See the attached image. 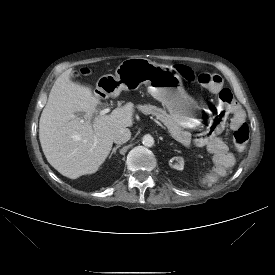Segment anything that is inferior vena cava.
Returning <instances> with one entry per match:
<instances>
[{
    "label": "inferior vena cava",
    "instance_id": "obj_1",
    "mask_svg": "<svg viewBox=\"0 0 275 275\" xmlns=\"http://www.w3.org/2000/svg\"><path fill=\"white\" fill-rule=\"evenodd\" d=\"M130 138L131 132L128 128H120L113 135V141L117 144L126 143Z\"/></svg>",
    "mask_w": 275,
    "mask_h": 275
}]
</instances>
